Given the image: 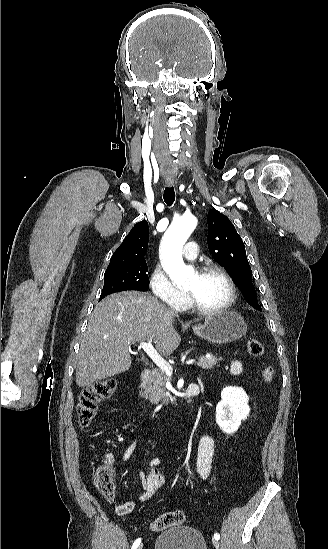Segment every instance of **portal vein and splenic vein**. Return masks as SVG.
I'll return each mask as SVG.
<instances>
[{
  "label": "portal vein and splenic vein",
  "instance_id": "portal-vein-and-splenic-vein-1",
  "mask_svg": "<svg viewBox=\"0 0 328 549\" xmlns=\"http://www.w3.org/2000/svg\"><path fill=\"white\" fill-rule=\"evenodd\" d=\"M139 347L149 355L150 359H152L153 363H155L161 371H165V373H171V371H173L171 365H169L167 361H164L159 353H157L156 349H154L152 341H147V343H142L141 341ZM194 361L195 358L188 359V364H194Z\"/></svg>",
  "mask_w": 328,
  "mask_h": 549
}]
</instances>
